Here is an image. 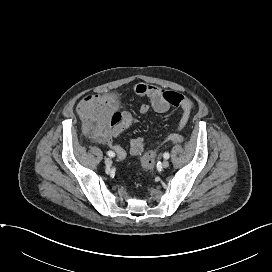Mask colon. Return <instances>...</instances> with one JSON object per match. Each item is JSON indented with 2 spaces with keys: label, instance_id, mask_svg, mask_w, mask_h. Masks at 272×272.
<instances>
[{
  "label": "colon",
  "instance_id": "colon-1",
  "mask_svg": "<svg viewBox=\"0 0 272 272\" xmlns=\"http://www.w3.org/2000/svg\"><path fill=\"white\" fill-rule=\"evenodd\" d=\"M78 111L85 127L95 136L103 135L109 126L119 124L123 114L116 110L114 99L109 96L87 95L78 104ZM182 135L173 133L166 137L165 142L181 143ZM155 160V151H149L143 155L141 166L149 170Z\"/></svg>",
  "mask_w": 272,
  "mask_h": 272
}]
</instances>
